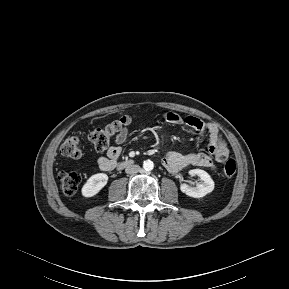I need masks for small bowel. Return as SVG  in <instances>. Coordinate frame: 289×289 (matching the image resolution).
Wrapping results in <instances>:
<instances>
[{
	"instance_id": "small-bowel-1",
	"label": "small bowel",
	"mask_w": 289,
	"mask_h": 289,
	"mask_svg": "<svg viewBox=\"0 0 289 289\" xmlns=\"http://www.w3.org/2000/svg\"><path fill=\"white\" fill-rule=\"evenodd\" d=\"M163 119L176 127L184 129L190 135H197L199 138L209 136V153L196 152L181 154L174 150H168L162 160L163 166L170 173H178L189 167L215 168V160L223 162L229 155L228 147L223 140L218 128L213 123H205L194 116L181 117L174 112H167ZM128 137V129L119 132L114 144L109 147L105 156L98 159L99 167L104 171H111L115 168L117 159L122 152V145Z\"/></svg>"
}]
</instances>
